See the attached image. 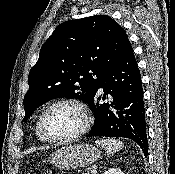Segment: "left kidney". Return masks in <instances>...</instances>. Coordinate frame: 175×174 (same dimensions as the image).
<instances>
[{
	"instance_id": "5707ae66",
	"label": "left kidney",
	"mask_w": 175,
	"mask_h": 174,
	"mask_svg": "<svg viewBox=\"0 0 175 174\" xmlns=\"http://www.w3.org/2000/svg\"><path fill=\"white\" fill-rule=\"evenodd\" d=\"M104 174H124L121 169L111 168L104 172Z\"/></svg>"
}]
</instances>
